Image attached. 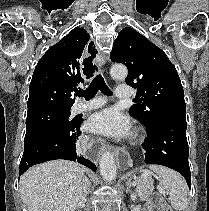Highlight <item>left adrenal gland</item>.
I'll return each instance as SVG.
<instances>
[{"mask_svg":"<svg viewBox=\"0 0 209 211\" xmlns=\"http://www.w3.org/2000/svg\"><path fill=\"white\" fill-rule=\"evenodd\" d=\"M126 184H127V190L129 191V188L132 186L131 180H128Z\"/></svg>","mask_w":209,"mask_h":211,"instance_id":"left-adrenal-gland-1","label":"left adrenal gland"}]
</instances>
